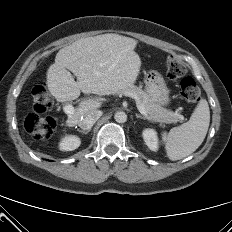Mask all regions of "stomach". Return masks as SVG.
<instances>
[{"label": "stomach", "instance_id": "stomach-1", "mask_svg": "<svg viewBox=\"0 0 232 232\" xmlns=\"http://www.w3.org/2000/svg\"><path fill=\"white\" fill-rule=\"evenodd\" d=\"M146 89L148 95L154 102L161 106H167L169 104V90L161 76L157 75L154 78H148L146 81Z\"/></svg>", "mask_w": 232, "mask_h": 232}]
</instances>
